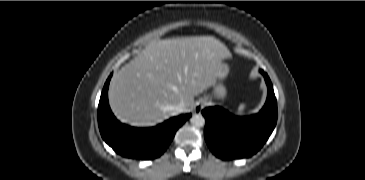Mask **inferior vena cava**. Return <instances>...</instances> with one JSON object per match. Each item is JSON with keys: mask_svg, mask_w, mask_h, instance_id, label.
Here are the masks:
<instances>
[{"mask_svg": "<svg viewBox=\"0 0 365 180\" xmlns=\"http://www.w3.org/2000/svg\"><path fill=\"white\" fill-rule=\"evenodd\" d=\"M185 110V103L182 101L174 107L176 113H182Z\"/></svg>", "mask_w": 365, "mask_h": 180, "instance_id": "602c4592", "label": "inferior vena cava"}]
</instances>
